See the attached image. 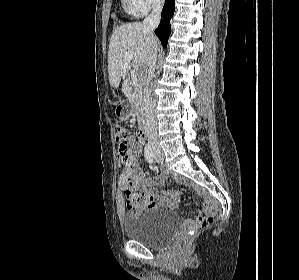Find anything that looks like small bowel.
Returning a JSON list of instances; mask_svg holds the SVG:
<instances>
[{
	"instance_id": "1",
	"label": "small bowel",
	"mask_w": 299,
	"mask_h": 280,
	"mask_svg": "<svg viewBox=\"0 0 299 280\" xmlns=\"http://www.w3.org/2000/svg\"><path fill=\"white\" fill-rule=\"evenodd\" d=\"M141 146L139 144L131 145L129 155V167L126 168L120 175L118 185L122 191L133 192L134 200L139 208H157L160 206H166L170 209H175L178 205L180 193L177 190H170L160 192L157 190V186L163 185L168 174L163 172L154 178L146 177L140 170L137 156L141 153ZM183 182L182 179H179ZM128 206V202H127ZM216 205L209 202L204 208V216H211L216 212ZM204 217H198L196 219H188L184 222L185 227L197 226L204 221Z\"/></svg>"
}]
</instances>
